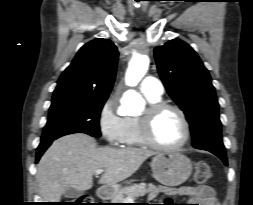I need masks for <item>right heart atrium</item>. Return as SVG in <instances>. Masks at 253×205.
Listing matches in <instances>:
<instances>
[{
	"instance_id": "d8ad5b80",
	"label": "right heart atrium",
	"mask_w": 253,
	"mask_h": 205,
	"mask_svg": "<svg viewBox=\"0 0 253 205\" xmlns=\"http://www.w3.org/2000/svg\"><path fill=\"white\" fill-rule=\"evenodd\" d=\"M98 127L108 144L119 145L122 143L125 117L118 113L114 98H108L101 106L98 114Z\"/></svg>"
}]
</instances>
